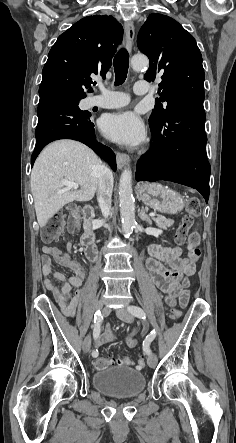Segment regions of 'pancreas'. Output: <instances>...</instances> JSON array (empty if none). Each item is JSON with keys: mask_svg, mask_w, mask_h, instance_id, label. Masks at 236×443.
Segmentation results:
<instances>
[{"mask_svg": "<svg viewBox=\"0 0 236 443\" xmlns=\"http://www.w3.org/2000/svg\"><path fill=\"white\" fill-rule=\"evenodd\" d=\"M155 224L160 229H167L168 227H171L174 224V221L172 219H167L164 216L158 215L157 217L152 218Z\"/></svg>", "mask_w": 236, "mask_h": 443, "instance_id": "obj_1", "label": "pancreas"}]
</instances>
